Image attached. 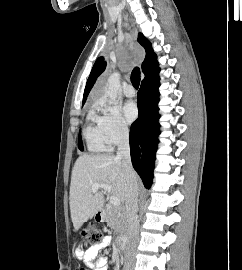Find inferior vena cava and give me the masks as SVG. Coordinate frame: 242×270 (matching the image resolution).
Instances as JSON below:
<instances>
[{"mask_svg": "<svg viewBox=\"0 0 242 270\" xmlns=\"http://www.w3.org/2000/svg\"><path fill=\"white\" fill-rule=\"evenodd\" d=\"M123 165V174L126 182L125 219L127 222L128 245L125 251V268L129 270L134 265V250L139 237L138 211V185L135 171L132 167L129 146V131L124 130L119 138L117 156Z\"/></svg>", "mask_w": 242, "mask_h": 270, "instance_id": "inferior-vena-cava-1", "label": "inferior vena cava"}]
</instances>
